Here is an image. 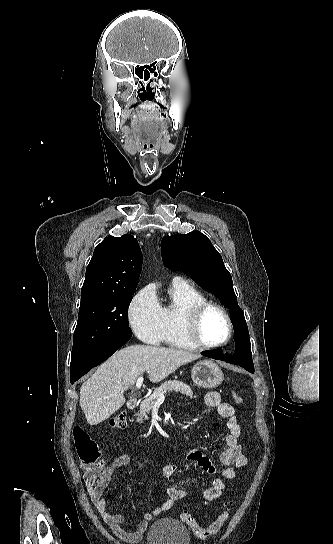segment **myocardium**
<instances>
[{
  "instance_id": "obj_1",
  "label": "myocardium",
  "mask_w": 333,
  "mask_h": 544,
  "mask_svg": "<svg viewBox=\"0 0 333 544\" xmlns=\"http://www.w3.org/2000/svg\"><path fill=\"white\" fill-rule=\"evenodd\" d=\"M210 308H215L219 310L223 314L227 322V326H228L227 338L224 341L219 343L209 344L204 342L201 338V334H200L201 321L204 314ZM184 324H185L186 334L189 340L197 348H202V349H215V348L223 347L231 341L233 337V333H234V326H233V322L230 317V314L228 313V311L222 304L213 300L205 299L195 304L194 306H192L185 315Z\"/></svg>"
}]
</instances>
